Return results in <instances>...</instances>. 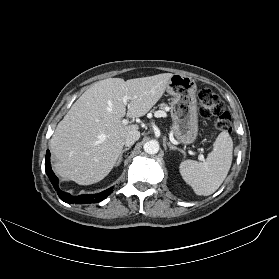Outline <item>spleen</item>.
I'll list each match as a JSON object with an SVG mask.
<instances>
[{
    "label": "spleen",
    "mask_w": 279,
    "mask_h": 279,
    "mask_svg": "<svg viewBox=\"0 0 279 279\" xmlns=\"http://www.w3.org/2000/svg\"><path fill=\"white\" fill-rule=\"evenodd\" d=\"M232 153V138L223 131L216 138L206 161L185 160L180 163V174L197 195L209 196L225 180L231 167Z\"/></svg>",
    "instance_id": "obj_1"
}]
</instances>
